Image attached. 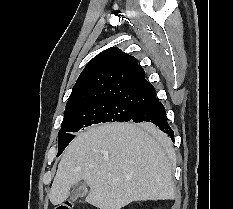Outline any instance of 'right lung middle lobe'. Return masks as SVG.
<instances>
[{
    "label": "right lung middle lobe",
    "instance_id": "obj_1",
    "mask_svg": "<svg viewBox=\"0 0 233 209\" xmlns=\"http://www.w3.org/2000/svg\"><path fill=\"white\" fill-rule=\"evenodd\" d=\"M142 106L119 100H104L84 104L66 111L61 130L58 133L57 157L75 137L74 132L102 122L130 121ZM141 126L150 127L145 124Z\"/></svg>",
    "mask_w": 233,
    "mask_h": 209
}]
</instances>
